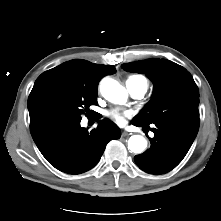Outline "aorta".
Masks as SVG:
<instances>
[{
  "label": "aorta",
  "mask_w": 221,
  "mask_h": 221,
  "mask_svg": "<svg viewBox=\"0 0 221 221\" xmlns=\"http://www.w3.org/2000/svg\"><path fill=\"white\" fill-rule=\"evenodd\" d=\"M102 96L115 104H123L127 100L128 93L126 89L112 78H104L100 83ZM147 147L146 139L141 135H133L128 140V148L136 154L142 153Z\"/></svg>",
  "instance_id": "762f6f07"
}]
</instances>
